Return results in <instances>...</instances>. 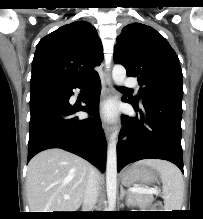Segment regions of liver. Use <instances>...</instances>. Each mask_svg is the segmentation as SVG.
Listing matches in <instances>:
<instances>
[{"instance_id": "obj_1", "label": "liver", "mask_w": 203, "mask_h": 219, "mask_svg": "<svg viewBox=\"0 0 203 219\" xmlns=\"http://www.w3.org/2000/svg\"><path fill=\"white\" fill-rule=\"evenodd\" d=\"M92 165L59 148L34 156L27 168L31 212H76L82 204ZM98 178L100 173L97 171ZM68 195L70 198L65 199Z\"/></svg>"}]
</instances>
